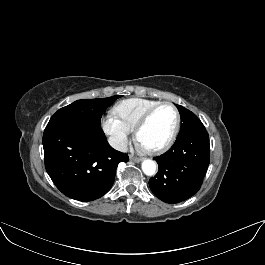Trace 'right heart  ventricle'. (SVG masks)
<instances>
[{
    "label": "right heart ventricle",
    "mask_w": 265,
    "mask_h": 265,
    "mask_svg": "<svg viewBox=\"0 0 265 265\" xmlns=\"http://www.w3.org/2000/svg\"><path fill=\"white\" fill-rule=\"evenodd\" d=\"M158 103L160 101L154 99L129 98L118 102L113 107V114L129 129L134 130L145 112Z\"/></svg>",
    "instance_id": "right-heart-ventricle-1"
}]
</instances>
